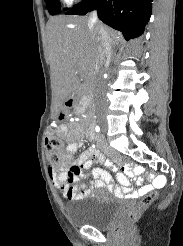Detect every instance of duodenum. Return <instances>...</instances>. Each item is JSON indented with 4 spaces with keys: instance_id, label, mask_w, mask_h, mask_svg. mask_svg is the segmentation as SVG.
I'll list each match as a JSON object with an SVG mask.
<instances>
[{
    "instance_id": "410a0bca",
    "label": "duodenum",
    "mask_w": 183,
    "mask_h": 246,
    "mask_svg": "<svg viewBox=\"0 0 183 246\" xmlns=\"http://www.w3.org/2000/svg\"><path fill=\"white\" fill-rule=\"evenodd\" d=\"M68 106H70L71 109H76V113H83V105L82 104H75V101L73 99H70L67 103ZM91 141H96V144H99V148L102 149V151H109V146L104 143V139H101L100 136H97L96 133L90 134Z\"/></svg>"
}]
</instances>
